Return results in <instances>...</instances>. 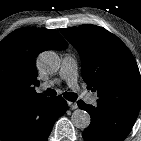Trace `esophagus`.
<instances>
[{
    "label": "esophagus",
    "mask_w": 141,
    "mask_h": 141,
    "mask_svg": "<svg viewBox=\"0 0 141 141\" xmlns=\"http://www.w3.org/2000/svg\"><path fill=\"white\" fill-rule=\"evenodd\" d=\"M68 106L71 109H76L78 107L77 103L76 102H72V101H68Z\"/></svg>",
    "instance_id": "obj_1"
}]
</instances>
